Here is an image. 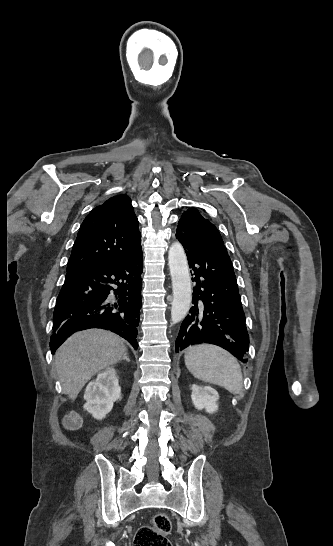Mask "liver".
Segmentation results:
<instances>
[{
  "instance_id": "obj_1",
  "label": "liver",
  "mask_w": 333,
  "mask_h": 546,
  "mask_svg": "<svg viewBox=\"0 0 333 546\" xmlns=\"http://www.w3.org/2000/svg\"><path fill=\"white\" fill-rule=\"evenodd\" d=\"M125 351L122 339L101 329L73 334L55 356L63 392L74 400L93 375L116 364Z\"/></svg>"
}]
</instances>
